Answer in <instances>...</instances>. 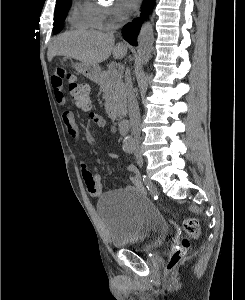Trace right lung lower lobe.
<instances>
[{"label":"right lung lower lobe","mask_w":245,"mask_h":300,"mask_svg":"<svg viewBox=\"0 0 245 300\" xmlns=\"http://www.w3.org/2000/svg\"><path fill=\"white\" fill-rule=\"evenodd\" d=\"M155 5V0H144L142 5L141 17L135 19L132 23H128L122 29L124 39L131 45H137L136 38L143 21L151 13Z\"/></svg>","instance_id":"right-lung-lower-lobe-1"}]
</instances>
